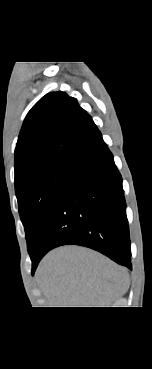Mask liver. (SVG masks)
Masks as SVG:
<instances>
[{
	"label": "liver",
	"mask_w": 152,
	"mask_h": 369,
	"mask_svg": "<svg viewBox=\"0 0 152 369\" xmlns=\"http://www.w3.org/2000/svg\"><path fill=\"white\" fill-rule=\"evenodd\" d=\"M37 279L51 307H108L130 284L126 268L79 246L48 253L37 269Z\"/></svg>",
	"instance_id": "liver-1"
}]
</instances>
